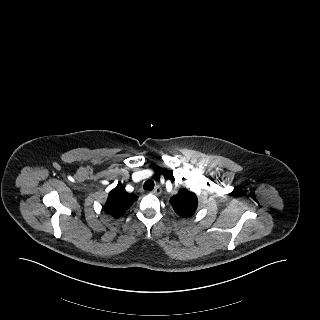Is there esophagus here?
I'll use <instances>...</instances> for the list:
<instances>
[{
	"instance_id": "34e87169",
	"label": "esophagus",
	"mask_w": 320,
	"mask_h": 320,
	"mask_svg": "<svg viewBox=\"0 0 320 320\" xmlns=\"http://www.w3.org/2000/svg\"><path fill=\"white\" fill-rule=\"evenodd\" d=\"M150 193L154 195H159L161 193L160 186L159 185L155 186V188Z\"/></svg>"
}]
</instances>
